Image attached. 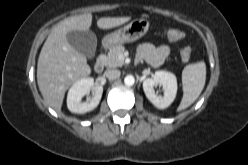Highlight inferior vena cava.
<instances>
[{
    "mask_svg": "<svg viewBox=\"0 0 248 165\" xmlns=\"http://www.w3.org/2000/svg\"><path fill=\"white\" fill-rule=\"evenodd\" d=\"M120 74H121V72L119 70H115V69L106 70L104 73V75L110 80H113V79L120 77Z\"/></svg>",
    "mask_w": 248,
    "mask_h": 165,
    "instance_id": "602c4592",
    "label": "inferior vena cava"
}]
</instances>
